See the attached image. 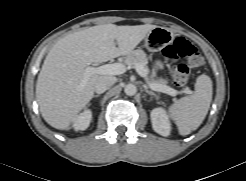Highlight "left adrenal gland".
I'll use <instances>...</instances> for the list:
<instances>
[{"label":"left adrenal gland","mask_w":246,"mask_h":181,"mask_svg":"<svg viewBox=\"0 0 246 181\" xmlns=\"http://www.w3.org/2000/svg\"><path fill=\"white\" fill-rule=\"evenodd\" d=\"M144 90H145V92H146L147 94L152 95V96H154L155 98H157V95H156L153 91H150V90H148L147 88H145Z\"/></svg>","instance_id":"1"}]
</instances>
